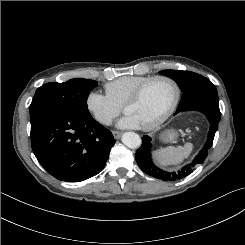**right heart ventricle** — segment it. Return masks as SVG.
Instances as JSON below:
<instances>
[{
    "instance_id": "obj_1",
    "label": "right heart ventricle",
    "mask_w": 245,
    "mask_h": 245,
    "mask_svg": "<svg viewBox=\"0 0 245 245\" xmlns=\"http://www.w3.org/2000/svg\"><path fill=\"white\" fill-rule=\"evenodd\" d=\"M150 76H122L105 85L106 95L117 105L123 106L133 91Z\"/></svg>"
}]
</instances>
